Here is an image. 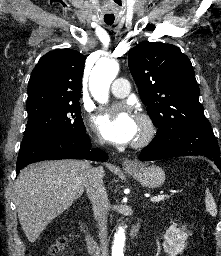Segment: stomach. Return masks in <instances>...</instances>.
Masks as SVG:
<instances>
[{
  "label": "stomach",
  "instance_id": "0dacf381",
  "mask_svg": "<svg viewBox=\"0 0 221 256\" xmlns=\"http://www.w3.org/2000/svg\"><path fill=\"white\" fill-rule=\"evenodd\" d=\"M125 170L144 187L154 189L160 187L165 182V173L158 166L138 165L134 168H126Z\"/></svg>",
  "mask_w": 221,
  "mask_h": 256
}]
</instances>
